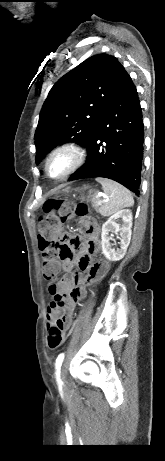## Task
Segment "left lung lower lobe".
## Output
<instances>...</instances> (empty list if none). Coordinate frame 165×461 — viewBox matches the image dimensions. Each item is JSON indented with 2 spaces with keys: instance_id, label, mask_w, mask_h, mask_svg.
I'll use <instances>...</instances> for the list:
<instances>
[{
  "instance_id": "0a47b994",
  "label": "left lung lower lobe",
  "mask_w": 165,
  "mask_h": 461,
  "mask_svg": "<svg viewBox=\"0 0 165 461\" xmlns=\"http://www.w3.org/2000/svg\"><path fill=\"white\" fill-rule=\"evenodd\" d=\"M144 125L138 93L127 74L86 144L87 162L69 181L104 177L139 194Z\"/></svg>"
}]
</instances>
